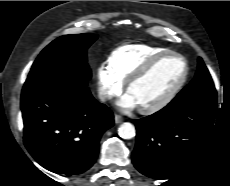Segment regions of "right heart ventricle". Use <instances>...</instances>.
Masks as SVG:
<instances>
[{
	"instance_id": "obj_1",
	"label": "right heart ventricle",
	"mask_w": 230,
	"mask_h": 186,
	"mask_svg": "<svg viewBox=\"0 0 230 186\" xmlns=\"http://www.w3.org/2000/svg\"><path fill=\"white\" fill-rule=\"evenodd\" d=\"M165 51L168 49L147 44L124 45L112 51L108 58V66L124 83L151 57Z\"/></svg>"
}]
</instances>
